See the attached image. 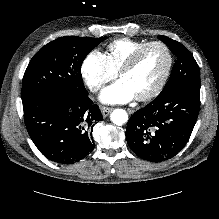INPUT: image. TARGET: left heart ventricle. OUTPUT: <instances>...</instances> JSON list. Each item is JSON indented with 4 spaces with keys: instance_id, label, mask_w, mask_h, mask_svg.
<instances>
[{
    "instance_id": "left-heart-ventricle-1",
    "label": "left heart ventricle",
    "mask_w": 219,
    "mask_h": 219,
    "mask_svg": "<svg viewBox=\"0 0 219 219\" xmlns=\"http://www.w3.org/2000/svg\"><path fill=\"white\" fill-rule=\"evenodd\" d=\"M167 61L165 50L160 46H152L142 54L135 66L120 78L128 83L136 96L145 94L161 79Z\"/></svg>"
}]
</instances>
